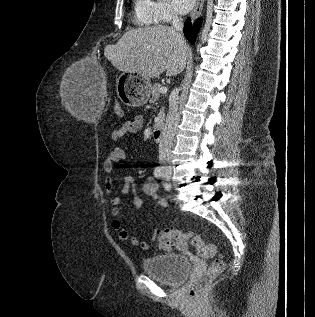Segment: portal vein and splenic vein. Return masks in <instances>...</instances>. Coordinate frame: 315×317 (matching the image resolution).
Here are the masks:
<instances>
[{
    "instance_id": "18ae733b",
    "label": "portal vein and splenic vein",
    "mask_w": 315,
    "mask_h": 317,
    "mask_svg": "<svg viewBox=\"0 0 315 317\" xmlns=\"http://www.w3.org/2000/svg\"><path fill=\"white\" fill-rule=\"evenodd\" d=\"M160 92H161L162 94H166V93H167V88H166V87H162V88L160 89Z\"/></svg>"
}]
</instances>
